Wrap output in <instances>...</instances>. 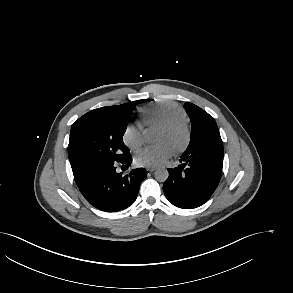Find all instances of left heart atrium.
I'll return each mask as SVG.
<instances>
[{
    "mask_svg": "<svg viewBox=\"0 0 293 293\" xmlns=\"http://www.w3.org/2000/svg\"><path fill=\"white\" fill-rule=\"evenodd\" d=\"M174 148L167 142L146 146L135 154V163L141 167H156L172 156Z\"/></svg>",
    "mask_w": 293,
    "mask_h": 293,
    "instance_id": "1",
    "label": "left heart atrium"
}]
</instances>
